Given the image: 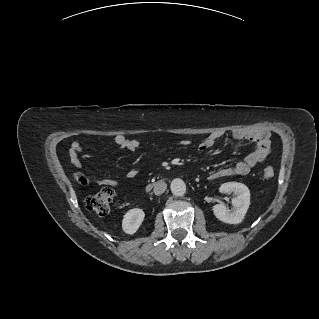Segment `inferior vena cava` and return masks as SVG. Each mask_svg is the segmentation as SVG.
Instances as JSON below:
<instances>
[{"label":"inferior vena cava","instance_id":"obj_1","mask_svg":"<svg viewBox=\"0 0 319 319\" xmlns=\"http://www.w3.org/2000/svg\"><path fill=\"white\" fill-rule=\"evenodd\" d=\"M166 188H167V184L165 182L158 181L154 185V189H153L154 194L155 195H161V194H163L165 192Z\"/></svg>","mask_w":319,"mask_h":319}]
</instances>
